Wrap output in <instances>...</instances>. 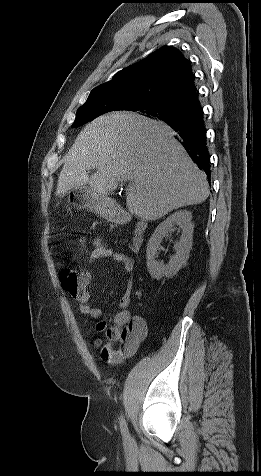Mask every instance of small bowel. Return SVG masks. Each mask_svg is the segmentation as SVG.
<instances>
[{
    "instance_id": "small-bowel-1",
    "label": "small bowel",
    "mask_w": 261,
    "mask_h": 476,
    "mask_svg": "<svg viewBox=\"0 0 261 476\" xmlns=\"http://www.w3.org/2000/svg\"><path fill=\"white\" fill-rule=\"evenodd\" d=\"M94 249L88 257V262L93 263L99 259H111L120 263L127 274L132 275L134 270V262L127 255L115 252L106 247L100 239L94 240ZM91 280V274L85 272ZM89 282L82 286L75 294H71L78 302L80 311L89 315L94 319H99L102 316V311L99 307L89 305L91 291L88 289ZM133 289L132 278L128 281L126 289L119 301V311L114 317V327L119 335L118 339L121 343L120 348H114L106 345L101 348V359L108 365L114 366L124 362L135 354L141 342L145 339L148 331L147 323L144 318L139 316H132L128 310L131 302V295Z\"/></svg>"
}]
</instances>
